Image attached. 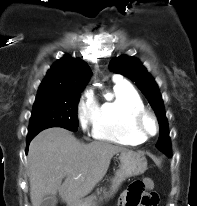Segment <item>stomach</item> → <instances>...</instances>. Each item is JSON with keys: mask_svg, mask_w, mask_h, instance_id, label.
Returning a JSON list of instances; mask_svg holds the SVG:
<instances>
[{"mask_svg": "<svg viewBox=\"0 0 197 206\" xmlns=\"http://www.w3.org/2000/svg\"><path fill=\"white\" fill-rule=\"evenodd\" d=\"M119 159L120 168L112 179L110 191L105 197H110L116 193L122 182L127 178L141 175L147 169V160L141 153L123 151L120 153ZM70 206H95V203L93 198L89 197Z\"/></svg>", "mask_w": 197, "mask_h": 206, "instance_id": "obj_1", "label": "stomach"}]
</instances>
